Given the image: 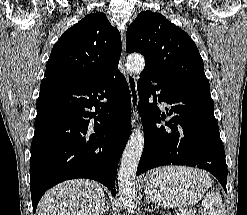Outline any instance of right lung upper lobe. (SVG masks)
Segmentation results:
<instances>
[{
  "mask_svg": "<svg viewBox=\"0 0 247 215\" xmlns=\"http://www.w3.org/2000/svg\"><path fill=\"white\" fill-rule=\"evenodd\" d=\"M121 36L102 12L68 29L54 45L45 79L71 85L90 84L117 68Z\"/></svg>",
  "mask_w": 247,
  "mask_h": 215,
  "instance_id": "right-lung-upper-lobe-1",
  "label": "right lung upper lobe"
}]
</instances>
